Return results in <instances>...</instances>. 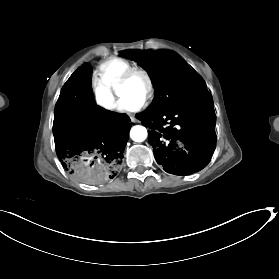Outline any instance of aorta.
I'll use <instances>...</instances> for the list:
<instances>
[{
	"label": "aorta",
	"mask_w": 279,
	"mask_h": 279,
	"mask_svg": "<svg viewBox=\"0 0 279 279\" xmlns=\"http://www.w3.org/2000/svg\"><path fill=\"white\" fill-rule=\"evenodd\" d=\"M147 135V129L141 125L133 126L130 130V137L135 142H143Z\"/></svg>",
	"instance_id": "obj_1"
}]
</instances>
